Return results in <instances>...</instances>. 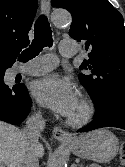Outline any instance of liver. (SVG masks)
Listing matches in <instances>:
<instances>
[{"label":"liver","mask_w":125,"mask_h":167,"mask_svg":"<svg viewBox=\"0 0 125 167\" xmlns=\"http://www.w3.org/2000/svg\"><path fill=\"white\" fill-rule=\"evenodd\" d=\"M38 156L44 154L43 146L37 144ZM26 157V145L22 131L0 121V167H22Z\"/></svg>","instance_id":"6515ba94"}]
</instances>
